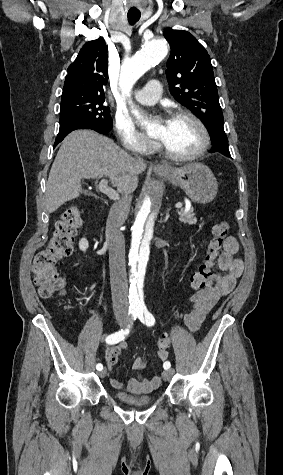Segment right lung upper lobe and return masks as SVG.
<instances>
[{
  "mask_svg": "<svg viewBox=\"0 0 283 475\" xmlns=\"http://www.w3.org/2000/svg\"><path fill=\"white\" fill-rule=\"evenodd\" d=\"M107 46L103 38L87 42L68 68L62 95H104L108 79Z\"/></svg>",
  "mask_w": 283,
  "mask_h": 475,
  "instance_id": "cb5924a9",
  "label": "right lung upper lobe"
}]
</instances>
